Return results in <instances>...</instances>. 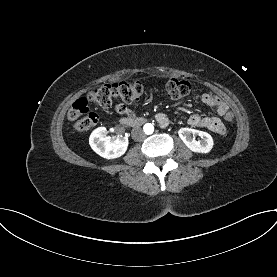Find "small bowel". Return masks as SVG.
I'll use <instances>...</instances> for the list:
<instances>
[{"label": "small bowel", "mask_w": 277, "mask_h": 277, "mask_svg": "<svg viewBox=\"0 0 277 277\" xmlns=\"http://www.w3.org/2000/svg\"><path fill=\"white\" fill-rule=\"evenodd\" d=\"M201 99L206 105L215 109L217 113V117H202L198 114H193L188 119V123L194 127L208 129L209 131L215 134H219V135L224 134L225 126L221 118H223V115L226 112H230L228 105L224 100H222L221 98H219L217 95H215L210 91H205L202 94ZM115 111L121 115H128V116L132 115V112L123 103L117 104L115 106ZM157 120L161 125H166L168 122V118L165 113H159L157 115Z\"/></svg>", "instance_id": "obj_1"}]
</instances>
